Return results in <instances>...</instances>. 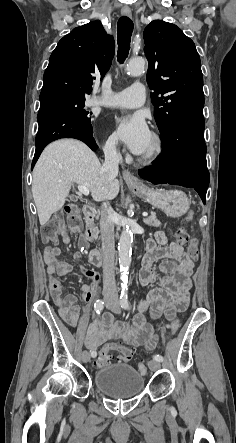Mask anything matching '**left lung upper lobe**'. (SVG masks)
<instances>
[{
  "label": "left lung upper lobe",
  "mask_w": 236,
  "mask_h": 443,
  "mask_svg": "<svg viewBox=\"0 0 236 443\" xmlns=\"http://www.w3.org/2000/svg\"><path fill=\"white\" fill-rule=\"evenodd\" d=\"M144 41L147 83L153 90L154 117L163 134L180 115L203 113L201 61L194 42L174 24L152 21L144 30Z\"/></svg>",
  "instance_id": "obj_1"
}]
</instances>
